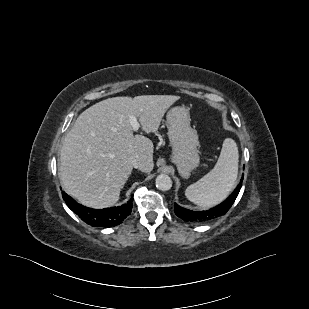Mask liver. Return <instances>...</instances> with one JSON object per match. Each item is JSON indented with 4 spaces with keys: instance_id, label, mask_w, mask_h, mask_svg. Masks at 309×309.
I'll list each match as a JSON object with an SVG mask.
<instances>
[{
    "instance_id": "1",
    "label": "liver",
    "mask_w": 309,
    "mask_h": 309,
    "mask_svg": "<svg viewBox=\"0 0 309 309\" xmlns=\"http://www.w3.org/2000/svg\"><path fill=\"white\" fill-rule=\"evenodd\" d=\"M179 99L174 95L114 97L82 112L60 153L64 190L88 207L113 206L132 172V157L141 158L142 172L154 168L153 143L133 135L130 117L135 116L146 133H155L167 109Z\"/></svg>"
}]
</instances>
